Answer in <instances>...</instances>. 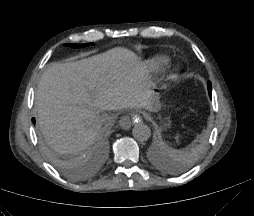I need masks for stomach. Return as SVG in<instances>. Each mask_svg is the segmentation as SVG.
I'll use <instances>...</instances> for the list:
<instances>
[{
  "label": "stomach",
  "mask_w": 254,
  "mask_h": 216,
  "mask_svg": "<svg viewBox=\"0 0 254 216\" xmlns=\"http://www.w3.org/2000/svg\"><path fill=\"white\" fill-rule=\"evenodd\" d=\"M166 121H167V122L164 124V126H170V123H171V122H170V119L167 118Z\"/></svg>",
  "instance_id": "1"
}]
</instances>
